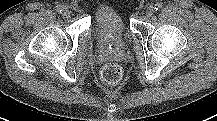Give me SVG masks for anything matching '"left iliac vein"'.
I'll return each mask as SVG.
<instances>
[{
  "mask_svg": "<svg viewBox=\"0 0 217 121\" xmlns=\"http://www.w3.org/2000/svg\"><path fill=\"white\" fill-rule=\"evenodd\" d=\"M153 12H154L153 6H149V7L147 8V10H146V15H147L148 17H150V16L153 14Z\"/></svg>",
  "mask_w": 217,
  "mask_h": 121,
  "instance_id": "left-iliac-vein-1",
  "label": "left iliac vein"
}]
</instances>
